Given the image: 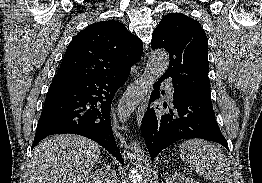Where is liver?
Wrapping results in <instances>:
<instances>
[{
  "label": "liver",
  "instance_id": "6515ba94",
  "mask_svg": "<svg viewBox=\"0 0 262 183\" xmlns=\"http://www.w3.org/2000/svg\"><path fill=\"white\" fill-rule=\"evenodd\" d=\"M99 155L100 146L83 136H50L35 147L27 183H80Z\"/></svg>",
  "mask_w": 262,
  "mask_h": 183
}]
</instances>
